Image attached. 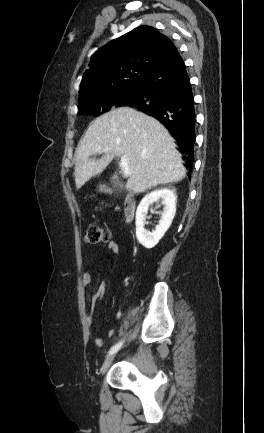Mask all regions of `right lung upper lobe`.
I'll use <instances>...</instances> for the list:
<instances>
[{"label":"right lung upper lobe","instance_id":"right-lung-upper-lobe-1","mask_svg":"<svg viewBox=\"0 0 264 433\" xmlns=\"http://www.w3.org/2000/svg\"><path fill=\"white\" fill-rule=\"evenodd\" d=\"M176 51L173 42L153 27L135 28L91 57L80 84L79 100L140 85Z\"/></svg>","mask_w":264,"mask_h":433}]
</instances>
